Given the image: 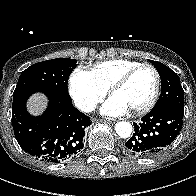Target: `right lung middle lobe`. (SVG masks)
Listing matches in <instances>:
<instances>
[{"label":"right lung middle lobe","mask_w":196,"mask_h":196,"mask_svg":"<svg viewBox=\"0 0 196 196\" xmlns=\"http://www.w3.org/2000/svg\"><path fill=\"white\" fill-rule=\"evenodd\" d=\"M77 60L57 58L33 64L19 78L13 99L36 91H53L71 100L67 83Z\"/></svg>","instance_id":"obj_1"}]
</instances>
